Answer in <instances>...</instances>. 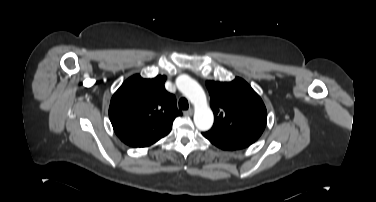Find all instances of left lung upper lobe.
Here are the masks:
<instances>
[{"mask_svg": "<svg viewBox=\"0 0 376 202\" xmlns=\"http://www.w3.org/2000/svg\"><path fill=\"white\" fill-rule=\"evenodd\" d=\"M214 113L212 130L254 143L265 129L267 111L260 96L243 79L207 81Z\"/></svg>", "mask_w": 376, "mask_h": 202, "instance_id": "5c2ea615", "label": "left lung upper lobe"}]
</instances>
